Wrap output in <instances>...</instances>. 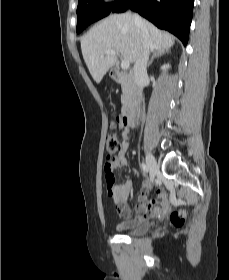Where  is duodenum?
Listing matches in <instances>:
<instances>
[{
  "label": "duodenum",
  "mask_w": 229,
  "mask_h": 280,
  "mask_svg": "<svg viewBox=\"0 0 229 280\" xmlns=\"http://www.w3.org/2000/svg\"><path fill=\"white\" fill-rule=\"evenodd\" d=\"M114 81L128 84V97L123 109V125L128 128L133 125L135 113L139 104V87L135 82V74L132 71L123 72L115 70L112 74Z\"/></svg>",
  "instance_id": "410a0bca"
}]
</instances>
